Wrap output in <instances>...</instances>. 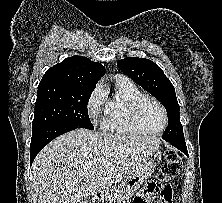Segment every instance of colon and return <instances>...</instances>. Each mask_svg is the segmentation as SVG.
Wrapping results in <instances>:
<instances>
[{"label": "colon", "mask_w": 222, "mask_h": 203, "mask_svg": "<svg viewBox=\"0 0 222 203\" xmlns=\"http://www.w3.org/2000/svg\"><path fill=\"white\" fill-rule=\"evenodd\" d=\"M182 167L183 164L178 154L171 150L166 151L158 181L149 183L136 197L134 203H150V200L153 203H164L167 197L168 182L180 174ZM162 184H164V186H162L160 191V198H157L156 193L159 191Z\"/></svg>", "instance_id": "5ec220e1"}]
</instances>
